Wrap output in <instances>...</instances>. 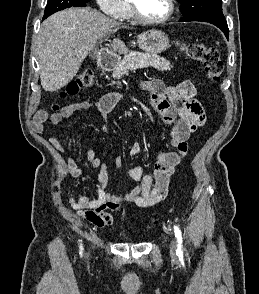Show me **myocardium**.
<instances>
[{"label":"myocardium","mask_w":259,"mask_h":294,"mask_svg":"<svg viewBox=\"0 0 259 294\" xmlns=\"http://www.w3.org/2000/svg\"><path fill=\"white\" fill-rule=\"evenodd\" d=\"M168 1V10L167 13L160 17V18H148L145 17L139 8L136 6L133 0H129L130 3V8L132 10L133 17L135 18L136 21L142 24H147V25H155V24H162L167 22L172 18V16L175 13V0H167Z\"/></svg>","instance_id":"1"}]
</instances>
